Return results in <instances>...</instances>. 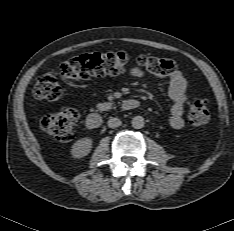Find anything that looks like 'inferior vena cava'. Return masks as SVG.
Masks as SVG:
<instances>
[{
    "instance_id": "602c4592",
    "label": "inferior vena cava",
    "mask_w": 234,
    "mask_h": 231,
    "mask_svg": "<svg viewBox=\"0 0 234 231\" xmlns=\"http://www.w3.org/2000/svg\"><path fill=\"white\" fill-rule=\"evenodd\" d=\"M121 123H122L121 120L116 117H110V119L108 120V126L110 128L119 127Z\"/></svg>"
}]
</instances>
